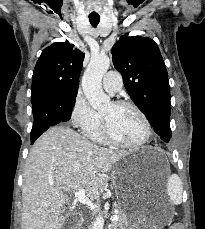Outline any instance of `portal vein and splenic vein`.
Returning <instances> with one entry per match:
<instances>
[{"label":"portal vein and splenic vein","mask_w":205,"mask_h":229,"mask_svg":"<svg viewBox=\"0 0 205 229\" xmlns=\"http://www.w3.org/2000/svg\"><path fill=\"white\" fill-rule=\"evenodd\" d=\"M74 197L80 203L89 206L91 210H94L96 208V205H94L93 202L86 196L84 189H79L76 192H74ZM118 220L119 217L117 215L111 216V221H118Z\"/></svg>","instance_id":"1"}]
</instances>
